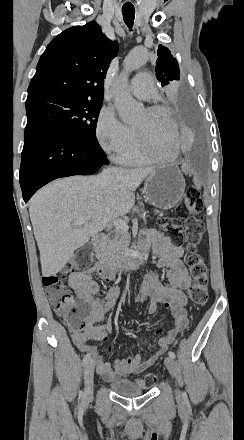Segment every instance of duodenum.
<instances>
[{"label": "duodenum", "instance_id": "duodenum-1", "mask_svg": "<svg viewBox=\"0 0 244 440\" xmlns=\"http://www.w3.org/2000/svg\"><path fill=\"white\" fill-rule=\"evenodd\" d=\"M91 244L94 247L101 249L105 245V239L102 235H96L92 238ZM145 251L146 249L141 246L134 254L126 255L120 258L117 262L113 261L107 264L106 267L110 270H123V271L135 272L143 264Z\"/></svg>", "mask_w": 244, "mask_h": 440}]
</instances>
